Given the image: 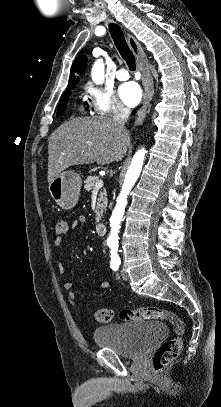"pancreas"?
<instances>
[{"mask_svg": "<svg viewBox=\"0 0 221 407\" xmlns=\"http://www.w3.org/2000/svg\"><path fill=\"white\" fill-rule=\"evenodd\" d=\"M98 180H99V177L97 175L88 176L84 181V183H85L84 188L87 191H91L92 189H94V185ZM106 195L107 194H106L105 190L100 193V197L98 198V203H97L96 210H95V222H99L103 215L105 205L107 203Z\"/></svg>", "mask_w": 221, "mask_h": 407, "instance_id": "obj_1", "label": "pancreas"}]
</instances>
